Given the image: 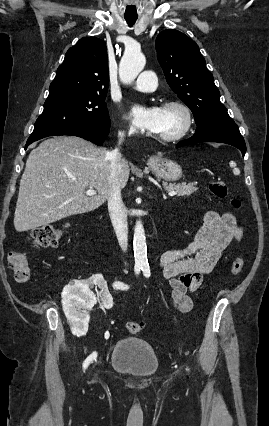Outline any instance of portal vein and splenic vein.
<instances>
[{
  "label": "portal vein and splenic vein",
  "instance_id": "portal-vein-and-splenic-vein-1",
  "mask_svg": "<svg viewBox=\"0 0 269 426\" xmlns=\"http://www.w3.org/2000/svg\"><path fill=\"white\" fill-rule=\"evenodd\" d=\"M95 194H96V191H95V190L89 189V190H87V191H86V195L92 196V195H95ZM168 195H169V196H175V195H176V192H175V191H170V192L168 193Z\"/></svg>",
  "mask_w": 269,
  "mask_h": 426
}]
</instances>
